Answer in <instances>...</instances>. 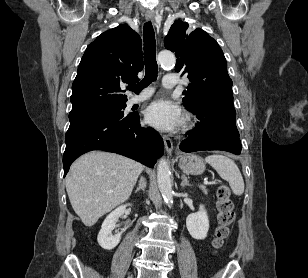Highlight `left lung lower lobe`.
I'll use <instances>...</instances> for the list:
<instances>
[{"label":"left lung lower lobe","instance_id":"left-lung-lower-lobe-1","mask_svg":"<svg viewBox=\"0 0 308 278\" xmlns=\"http://www.w3.org/2000/svg\"><path fill=\"white\" fill-rule=\"evenodd\" d=\"M191 112L197 115L199 122L182 141V151L223 150L240 154L242 146L235 124L232 94L212 97Z\"/></svg>","mask_w":308,"mask_h":278}]
</instances>
